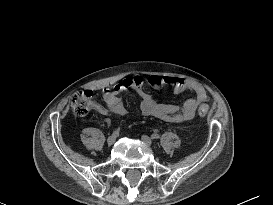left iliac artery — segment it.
I'll list each match as a JSON object with an SVG mask.
<instances>
[{
    "instance_id": "44dca946",
    "label": "left iliac artery",
    "mask_w": 273,
    "mask_h": 205,
    "mask_svg": "<svg viewBox=\"0 0 273 205\" xmlns=\"http://www.w3.org/2000/svg\"><path fill=\"white\" fill-rule=\"evenodd\" d=\"M151 138L152 139H158V138H160V135L159 134H152Z\"/></svg>"
}]
</instances>
